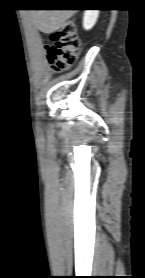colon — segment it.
Listing matches in <instances>:
<instances>
[{
    "label": "colon",
    "instance_id": "5ec220e1",
    "mask_svg": "<svg viewBox=\"0 0 145 278\" xmlns=\"http://www.w3.org/2000/svg\"><path fill=\"white\" fill-rule=\"evenodd\" d=\"M48 40L49 43L45 48L54 72H62L76 62L80 49V39L72 21H68L62 27L50 31Z\"/></svg>",
    "mask_w": 145,
    "mask_h": 278
}]
</instances>
